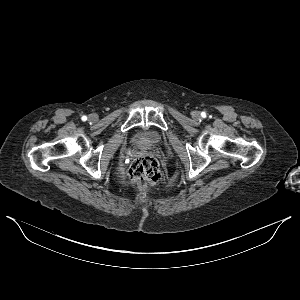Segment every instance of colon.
<instances>
[{
	"label": "colon",
	"instance_id": "1",
	"mask_svg": "<svg viewBox=\"0 0 300 300\" xmlns=\"http://www.w3.org/2000/svg\"><path fill=\"white\" fill-rule=\"evenodd\" d=\"M161 177L158 161L150 155L135 158L128 170L130 182L138 187L154 185Z\"/></svg>",
	"mask_w": 300,
	"mask_h": 300
}]
</instances>
